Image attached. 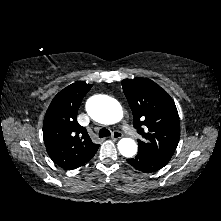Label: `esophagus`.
<instances>
[{
    "label": "esophagus",
    "mask_w": 221,
    "mask_h": 221,
    "mask_svg": "<svg viewBox=\"0 0 221 221\" xmlns=\"http://www.w3.org/2000/svg\"><path fill=\"white\" fill-rule=\"evenodd\" d=\"M123 137V134L119 131H114L112 136H111V139L116 141V140H119L120 138Z\"/></svg>",
    "instance_id": "obj_1"
}]
</instances>
